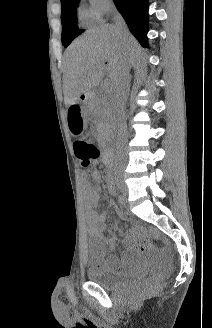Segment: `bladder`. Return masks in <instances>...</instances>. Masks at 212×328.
I'll return each mask as SVG.
<instances>
[{
	"instance_id": "1",
	"label": "bladder",
	"mask_w": 212,
	"mask_h": 328,
	"mask_svg": "<svg viewBox=\"0 0 212 328\" xmlns=\"http://www.w3.org/2000/svg\"><path fill=\"white\" fill-rule=\"evenodd\" d=\"M87 276L92 282L100 285L102 288L115 291L140 281L143 272L140 264H137L131 272L121 274L110 270L104 261L91 260Z\"/></svg>"
}]
</instances>
